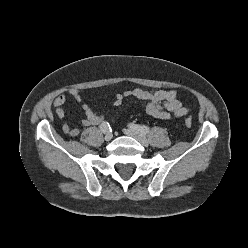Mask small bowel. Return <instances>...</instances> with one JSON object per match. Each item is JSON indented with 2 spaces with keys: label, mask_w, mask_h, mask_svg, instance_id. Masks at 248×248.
<instances>
[{
  "label": "small bowel",
  "mask_w": 248,
  "mask_h": 248,
  "mask_svg": "<svg viewBox=\"0 0 248 248\" xmlns=\"http://www.w3.org/2000/svg\"><path fill=\"white\" fill-rule=\"evenodd\" d=\"M68 94L76 102H82V93L79 89H70ZM177 95L176 89L148 90L136 88L116 94L113 105L118 107L122 105L125 98L133 97L145 103V110L148 115L158 119L170 120L174 117H182L189 111L188 107L178 99ZM66 102L67 97L65 95H60L53 101V107L59 119L65 117L64 106ZM81 107L84 112V118L82 120L84 126H96L106 122L105 120L107 118L104 115L95 112L88 104H82ZM62 130L65 134L72 137H76L80 133L78 128L72 127L67 123L63 125Z\"/></svg>",
  "instance_id": "1"
}]
</instances>
